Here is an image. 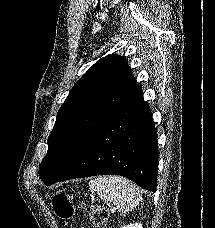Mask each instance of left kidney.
<instances>
[{
	"mask_svg": "<svg viewBox=\"0 0 215 228\" xmlns=\"http://www.w3.org/2000/svg\"><path fill=\"white\" fill-rule=\"evenodd\" d=\"M122 228H142V224H129V226H122Z\"/></svg>",
	"mask_w": 215,
	"mask_h": 228,
	"instance_id": "5707ae66",
	"label": "left kidney"
}]
</instances>
